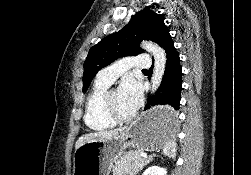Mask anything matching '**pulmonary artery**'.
<instances>
[{"instance_id":"1","label":"pulmonary artery","mask_w":251,"mask_h":175,"mask_svg":"<svg viewBox=\"0 0 251 175\" xmlns=\"http://www.w3.org/2000/svg\"><path fill=\"white\" fill-rule=\"evenodd\" d=\"M130 67V70L141 71L150 70L152 67L151 55H147V52H140V55H133V58H118V62H110V66L99 72L97 80L111 85L119 75Z\"/></svg>"}]
</instances>
